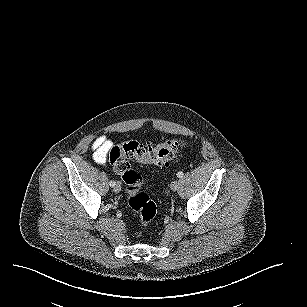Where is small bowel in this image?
Returning <instances> with one entry per match:
<instances>
[{"label":"small bowel","instance_id":"obj_1","mask_svg":"<svg viewBox=\"0 0 307 307\" xmlns=\"http://www.w3.org/2000/svg\"><path fill=\"white\" fill-rule=\"evenodd\" d=\"M113 143L105 135L96 137L92 143L93 159L97 164H104Z\"/></svg>","mask_w":307,"mask_h":307}]
</instances>
